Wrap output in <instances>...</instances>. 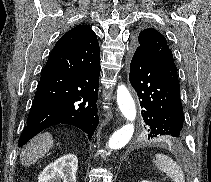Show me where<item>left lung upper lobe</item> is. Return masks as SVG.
Masks as SVG:
<instances>
[{
  "mask_svg": "<svg viewBox=\"0 0 211 182\" xmlns=\"http://www.w3.org/2000/svg\"><path fill=\"white\" fill-rule=\"evenodd\" d=\"M135 48L143 50L148 57L164 72L168 80L180 89L177 68L166 38L153 28L140 32Z\"/></svg>",
  "mask_w": 211,
  "mask_h": 182,
  "instance_id": "obj_1",
  "label": "left lung upper lobe"
}]
</instances>
